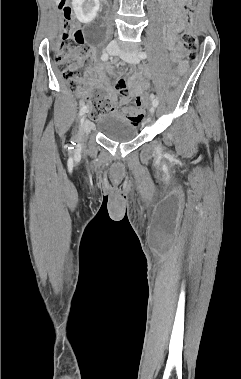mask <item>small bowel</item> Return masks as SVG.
I'll return each mask as SVG.
<instances>
[{
	"label": "small bowel",
	"mask_w": 241,
	"mask_h": 379,
	"mask_svg": "<svg viewBox=\"0 0 241 379\" xmlns=\"http://www.w3.org/2000/svg\"><path fill=\"white\" fill-rule=\"evenodd\" d=\"M165 9L171 21V24L168 26L167 31V41L172 48L171 59L173 62H180L178 37L179 34L184 30L186 23L181 16L179 8L175 5L174 0H166ZM184 69L185 64L180 63L179 70L183 71ZM95 71L97 74V80L91 78L88 79L86 83L87 86H98L105 88L109 98L113 103H115L117 101V96L109 84L108 68L103 65H98ZM118 82L123 83L121 80ZM127 86L128 90L125 87V93H122L119 90L122 95L119 100L121 115L125 119L131 121L132 125H143L144 121H146V117L148 116V111L142 110V107L145 103L141 102L139 93L143 92L144 87H148L145 73L129 78L127 81Z\"/></svg>",
	"instance_id": "small-bowel-1"
}]
</instances>
